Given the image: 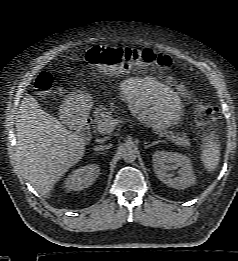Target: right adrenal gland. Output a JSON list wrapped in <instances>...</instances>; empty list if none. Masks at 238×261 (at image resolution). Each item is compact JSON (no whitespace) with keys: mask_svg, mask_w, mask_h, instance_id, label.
Wrapping results in <instances>:
<instances>
[{"mask_svg":"<svg viewBox=\"0 0 238 261\" xmlns=\"http://www.w3.org/2000/svg\"><path fill=\"white\" fill-rule=\"evenodd\" d=\"M97 154H103L102 152H99V153H97Z\"/></svg>","mask_w":238,"mask_h":261,"instance_id":"1","label":"right adrenal gland"}]
</instances>
